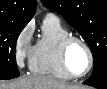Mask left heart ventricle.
I'll list each match as a JSON object with an SVG mask.
<instances>
[{"instance_id": "obj_1", "label": "left heart ventricle", "mask_w": 107, "mask_h": 89, "mask_svg": "<svg viewBox=\"0 0 107 89\" xmlns=\"http://www.w3.org/2000/svg\"><path fill=\"white\" fill-rule=\"evenodd\" d=\"M67 61L73 74H82L88 67L89 58L85 48L80 43L74 42L68 50Z\"/></svg>"}]
</instances>
